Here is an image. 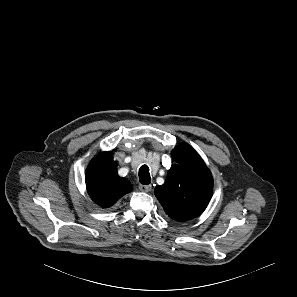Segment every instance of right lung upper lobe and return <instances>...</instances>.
<instances>
[{"label":"right lung upper lobe","instance_id":"right-lung-upper-lobe-1","mask_svg":"<svg viewBox=\"0 0 297 297\" xmlns=\"http://www.w3.org/2000/svg\"><path fill=\"white\" fill-rule=\"evenodd\" d=\"M86 188L92 200L105 208L132 191L130 182L117 175L111 152H101L92 159L86 172Z\"/></svg>","mask_w":297,"mask_h":297}]
</instances>
